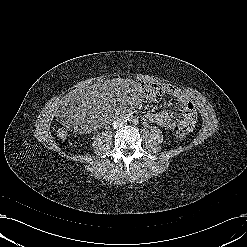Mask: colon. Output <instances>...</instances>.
Wrapping results in <instances>:
<instances>
[{"label":"colon","instance_id":"5ec220e1","mask_svg":"<svg viewBox=\"0 0 247 247\" xmlns=\"http://www.w3.org/2000/svg\"><path fill=\"white\" fill-rule=\"evenodd\" d=\"M143 90L147 100H155L160 97V92L158 90V87L154 84H143ZM187 133L188 131L186 129L179 128L176 131V137L182 139L186 136ZM56 135L57 137L64 139L67 137L68 132L65 127L59 126L56 129Z\"/></svg>","mask_w":247,"mask_h":247}]
</instances>
